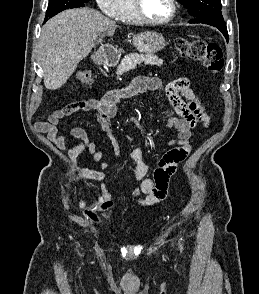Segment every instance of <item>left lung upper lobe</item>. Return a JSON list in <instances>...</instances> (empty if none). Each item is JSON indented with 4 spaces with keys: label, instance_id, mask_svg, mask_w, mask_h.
I'll list each match as a JSON object with an SVG mask.
<instances>
[{
    "label": "left lung upper lobe",
    "instance_id": "5c2ea615",
    "mask_svg": "<svg viewBox=\"0 0 259 294\" xmlns=\"http://www.w3.org/2000/svg\"><path fill=\"white\" fill-rule=\"evenodd\" d=\"M195 19L190 23H205L212 26H224L221 12V0H178Z\"/></svg>",
    "mask_w": 259,
    "mask_h": 294
}]
</instances>
